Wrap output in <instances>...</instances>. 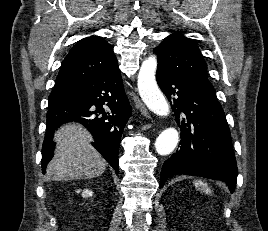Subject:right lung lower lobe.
<instances>
[{
	"mask_svg": "<svg viewBox=\"0 0 268 231\" xmlns=\"http://www.w3.org/2000/svg\"><path fill=\"white\" fill-rule=\"evenodd\" d=\"M131 114L118 64L78 88L76 98L49 106L42 149V170L53 157V133L68 121L83 124L93 135L92 145L119 171L118 152L124 126Z\"/></svg>",
	"mask_w": 268,
	"mask_h": 231,
	"instance_id": "right-lung-lower-lobe-1",
	"label": "right lung lower lobe"
}]
</instances>
